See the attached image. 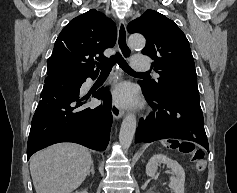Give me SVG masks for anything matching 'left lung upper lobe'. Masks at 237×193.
I'll use <instances>...</instances> for the list:
<instances>
[{"label":"left lung upper lobe","instance_id":"1","mask_svg":"<svg viewBox=\"0 0 237 193\" xmlns=\"http://www.w3.org/2000/svg\"><path fill=\"white\" fill-rule=\"evenodd\" d=\"M128 31L144 35L146 46L142 54L154 60L151 66L160 75L157 81H140V84L156 96L199 95L189 42L172 20L157 11L147 10L129 23Z\"/></svg>","mask_w":237,"mask_h":193}]
</instances>
